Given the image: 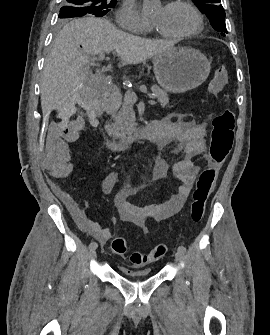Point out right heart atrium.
Wrapping results in <instances>:
<instances>
[{
    "label": "right heart atrium",
    "instance_id": "d8ad5b80",
    "mask_svg": "<svg viewBox=\"0 0 270 335\" xmlns=\"http://www.w3.org/2000/svg\"><path fill=\"white\" fill-rule=\"evenodd\" d=\"M117 24L126 31L149 35L152 32L150 24L142 17L134 0H126L116 15Z\"/></svg>",
    "mask_w": 270,
    "mask_h": 335
}]
</instances>
